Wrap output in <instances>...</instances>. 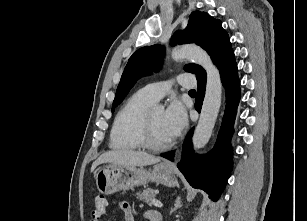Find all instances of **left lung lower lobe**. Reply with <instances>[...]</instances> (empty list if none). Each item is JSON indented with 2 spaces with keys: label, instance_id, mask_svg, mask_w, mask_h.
<instances>
[{
  "label": "left lung lower lobe",
  "instance_id": "left-lung-lower-lobe-1",
  "mask_svg": "<svg viewBox=\"0 0 307 221\" xmlns=\"http://www.w3.org/2000/svg\"><path fill=\"white\" fill-rule=\"evenodd\" d=\"M226 92V107L215 147L205 156L194 153L191 143L192 130L187 135L179 170L194 188L202 189L213 201H217L230 176L232 169V150L230 139L233 124L240 100V80L234 58V52L226 57L218 66ZM198 93L195 99V109L200 112L206 88V77L197 79ZM173 161L174 151L161 154Z\"/></svg>",
  "mask_w": 307,
  "mask_h": 221
}]
</instances>
